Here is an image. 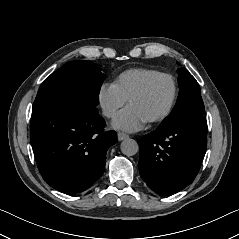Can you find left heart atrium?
<instances>
[{
	"instance_id": "obj_1",
	"label": "left heart atrium",
	"mask_w": 239,
	"mask_h": 239,
	"mask_svg": "<svg viewBox=\"0 0 239 239\" xmlns=\"http://www.w3.org/2000/svg\"><path fill=\"white\" fill-rule=\"evenodd\" d=\"M146 121L147 120L144 119L133 107L127 106L113 120L112 126L116 129L133 132L142 129Z\"/></svg>"
}]
</instances>
